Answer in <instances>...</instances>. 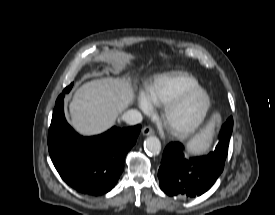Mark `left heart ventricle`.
Masks as SVG:
<instances>
[{"mask_svg":"<svg viewBox=\"0 0 275 215\" xmlns=\"http://www.w3.org/2000/svg\"><path fill=\"white\" fill-rule=\"evenodd\" d=\"M203 96L196 94L188 98L174 113L172 120L179 127L192 124L199 116L203 106Z\"/></svg>","mask_w":275,"mask_h":215,"instance_id":"1","label":"left heart ventricle"}]
</instances>
